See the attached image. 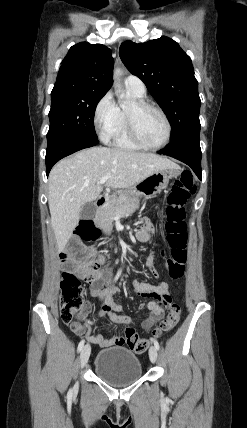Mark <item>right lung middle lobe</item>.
<instances>
[{"mask_svg":"<svg viewBox=\"0 0 247 428\" xmlns=\"http://www.w3.org/2000/svg\"><path fill=\"white\" fill-rule=\"evenodd\" d=\"M104 95L105 93L85 90L51 94L47 140L63 136L97 140L94 114L98 102Z\"/></svg>","mask_w":247,"mask_h":428,"instance_id":"right-lung-middle-lobe-1","label":"right lung middle lobe"}]
</instances>
